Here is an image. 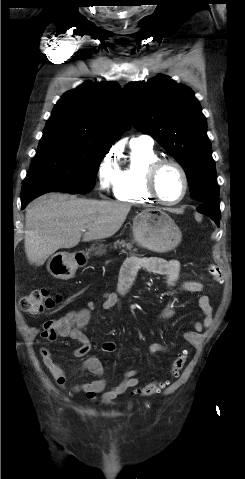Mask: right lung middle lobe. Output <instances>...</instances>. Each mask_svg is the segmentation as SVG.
Masks as SVG:
<instances>
[{
	"mask_svg": "<svg viewBox=\"0 0 245 479\" xmlns=\"http://www.w3.org/2000/svg\"><path fill=\"white\" fill-rule=\"evenodd\" d=\"M109 148L60 133H43L24 179L21 195L34 191L71 194L90 192L100 162Z\"/></svg>",
	"mask_w": 245,
	"mask_h": 479,
	"instance_id": "1",
	"label": "right lung middle lobe"
}]
</instances>
